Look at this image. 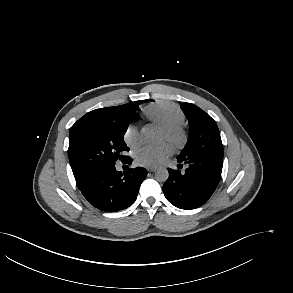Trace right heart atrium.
<instances>
[{"instance_id":"obj_1","label":"right heart atrium","mask_w":293,"mask_h":293,"mask_svg":"<svg viewBox=\"0 0 293 293\" xmlns=\"http://www.w3.org/2000/svg\"><path fill=\"white\" fill-rule=\"evenodd\" d=\"M123 141L131 149L138 147L141 144V135L138 128L130 124L126 127L123 134Z\"/></svg>"}]
</instances>
